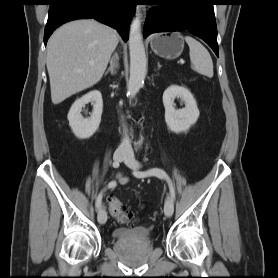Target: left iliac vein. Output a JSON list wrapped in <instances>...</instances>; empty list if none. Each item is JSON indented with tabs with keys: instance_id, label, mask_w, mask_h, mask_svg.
<instances>
[{
	"instance_id": "left-iliac-vein-1",
	"label": "left iliac vein",
	"mask_w": 278,
	"mask_h": 278,
	"mask_svg": "<svg viewBox=\"0 0 278 278\" xmlns=\"http://www.w3.org/2000/svg\"><path fill=\"white\" fill-rule=\"evenodd\" d=\"M125 164L136 170L140 167L139 162L134 158V156L132 154H129L126 159L124 160ZM174 212V204H173V200L170 196H167L166 201H165V205H164V213L167 217H171L172 214Z\"/></svg>"
}]
</instances>
